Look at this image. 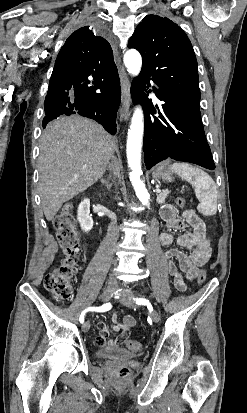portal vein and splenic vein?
I'll use <instances>...</instances> for the list:
<instances>
[{
  "label": "portal vein and splenic vein",
  "mask_w": 247,
  "mask_h": 413,
  "mask_svg": "<svg viewBox=\"0 0 247 413\" xmlns=\"http://www.w3.org/2000/svg\"><path fill=\"white\" fill-rule=\"evenodd\" d=\"M157 192H161L160 188H156Z\"/></svg>",
  "instance_id": "1"
}]
</instances>
